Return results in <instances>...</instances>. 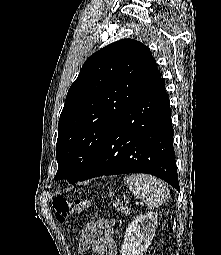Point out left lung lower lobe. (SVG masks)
<instances>
[{
	"instance_id": "1",
	"label": "left lung lower lobe",
	"mask_w": 221,
	"mask_h": 255,
	"mask_svg": "<svg viewBox=\"0 0 221 255\" xmlns=\"http://www.w3.org/2000/svg\"><path fill=\"white\" fill-rule=\"evenodd\" d=\"M169 98L163 78L113 124L98 154L78 181L102 175L147 173L179 191Z\"/></svg>"
}]
</instances>
